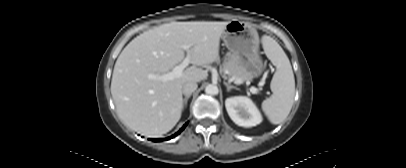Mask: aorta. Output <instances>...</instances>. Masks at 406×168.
Returning <instances> with one entry per match:
<instances>
[{
	"mask_svg": "<svg viewBox=\"0 0 406 168\" xmlns=\"http://www.w3.org/2000/svg\"><path fill=\"white\" fill-rule=\"evenodd\" d=\"M205 92L208 95H217L219 90H218V87L216 85L209 84V85L206 86Z\"/></svg>",
	"mask_w": 406,
	"mask_h": 168,
	"instance_id": "762f6f07",
	"label": "aorta"
}]
</instances>
